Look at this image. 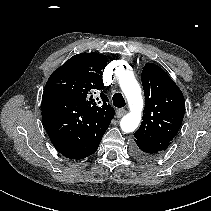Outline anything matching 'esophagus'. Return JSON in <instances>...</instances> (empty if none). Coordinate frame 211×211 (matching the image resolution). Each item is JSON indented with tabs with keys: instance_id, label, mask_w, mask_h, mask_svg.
<instances>
[{
	"instance_id": "1",
	"label": "esophagus",
	"mask_w": 211,
	"mask_h": 211,
	"mask_svg": "<svg viewBox=\"0 0 211 211\" xmlns=\"http://www.w3.org/2000/svg\"><path fill=\"white\" fill-rule=\"evenodd\" d=\"M126 114V110L125 109H118L116 111V117L117 118H121L122 116H124Z\"/></svg>"
}]
</instances>
